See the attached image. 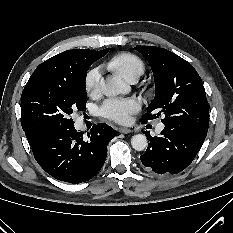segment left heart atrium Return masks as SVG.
Here are the masks:
<instances>
[{
  "label": "left heart atrium",
  "mask_w": 233,
  "mask_h": 233,
  "mask_svg": "<svg viewBox=\"0 0 233 233\" xmlns=\"http://www.w3.org/2000/svg\"><path fill=\"white\" fill-rule=\"evenodd\" d=\"M141 103L135 98L129 99H108L100 107V113L103 117L114 120L119 123H127L131 115L138 112Z\"/></svg>",
  "instance_id": "obj_1"
}]
</instances>
